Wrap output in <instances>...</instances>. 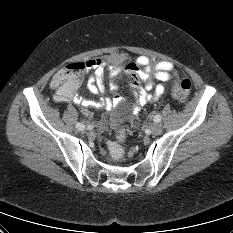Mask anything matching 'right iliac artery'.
Segmentation results:
<instances>
[{
    "label": "right iliac artery",
    "instance_id": "obj_1",
    "mask_svg": "<svg viewBox=\"0 0 233 233\" xmlns=\"http://www.w3.org/2000/svg\"><path fill=\"white\" fill-rule=\"evenodd\" d=\"M76 128H77L78 130H82L83 128H85V126H84V124L78 122V123L76 124Z\"/></svg>",
    "mask_w": 233,
    "mask_h": 233
}]
</instances>
